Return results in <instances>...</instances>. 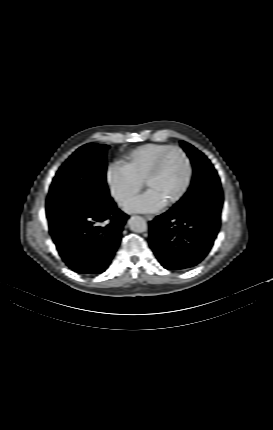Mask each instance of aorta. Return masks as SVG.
<instances>
[{"label":"aorta","mask_w":273,"mask_h":430,"mask_svg":"<svg viewBox=\"0 0 273 430\" xmlns=\"http://www.w3.org/2000/svg\"><path fill=\"white\" fill-rule=\"evenodd\" d=\"M128 226L131 231L142 233L147 230V222L140 216H132L128 220Z\"/></svg>","instance_id":"aorta-1"}]
</instances>
